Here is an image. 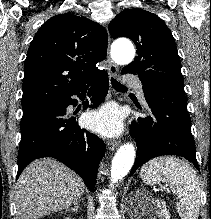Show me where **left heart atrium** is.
Returning <instances> with one entry per match:
<instances>
[{
  "label": "left heart atrium",
  "instance_id": "obj_1",
  "mask_svg": "<svg viewBox=\"0 0 211 219\" xmlns=\"http://www.w3.org/2000/svg\"><path fill=\"white\" fill-rule=\"evenodd\" d=\"M86 123L89 128L104 136H114L122 130L120 115L112 107H105L90 114L86 119Z\"/></svg>",
  "mask_w": 211,
  "mask_h": 219
}]
</instances>
